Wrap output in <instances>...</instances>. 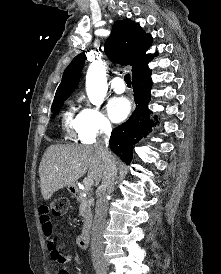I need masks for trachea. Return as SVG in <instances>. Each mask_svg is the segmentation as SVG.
<instances>
[{
    "label": "trachea",
    "mask_w": 221,
    "mask_h": 274,
    "mask_svg": "<svg viewBox=\"0 0 221 274\" xmlns=\"http://www.w3.org/2000/svg\"><path fill=\"white\" fill-rule=\"evenodd\" d=\"M124 80H125L127 85H131L130 74H126L125 77H124Z\"/></svg>",
    "instance_id": "obj_1"
}]
</instances>
